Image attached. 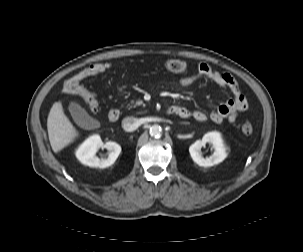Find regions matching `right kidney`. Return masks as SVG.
<instances>
[{"label":"right kidney","instance_id":"1","mask_svg":"<svg viewBox=\"0 0 303 252\" xmlns=\"http://www.w3.org/2000/svg\"><path fill=\"white\" fill-rule=\"evenodd\" d=\"M100 148L108 150L107 158H98L97 151ZM121 153V146L116 142L103 143L99 135H93L85 140L76 150L77 159L84 165L89 167L106 168L111 166L119 154Z\"/></svg>","mask_w":303,"mask_h":252}]
</instances>
